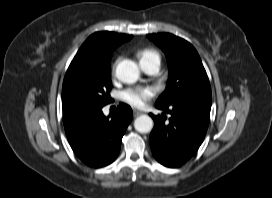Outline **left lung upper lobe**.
<instances>
[{
	"instance_id": "obj_1",
	"label": "left lung upper lobe",
	"mask_w": 272,
	"mask_h": 198,
	"mask_svg": "<svg viewBox=\"0 0 272 198\" xmlns=\"http://www.w3.org/2000/svg\"><path fill=\"white\" fill-rule=\"evenodd\" d=\"M147 37L163 50L169 68L166 89L156 103L211 105L209 79L196 49L186 40L169 33L149 34Z\"/></svg>"
}]
</instances>
